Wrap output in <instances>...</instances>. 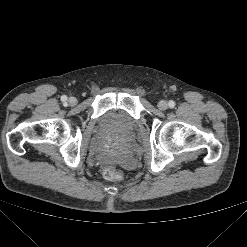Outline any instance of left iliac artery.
<instances>
[{
	"mask_svg": "<svg viewBox=\"0 0 247 247\" xmlns=\"http://www.w3.org/2000/svg\"><path fill=\"white\" fill-rule=\"evenodd\" d=\"M168 105L170 108H174L175 102L171 100V101H169Z\"/></svg>",
	"mask_w": 247,
	"mask_h": 247,
	"instance_id": "44dca946",
	"label": "left iliac artery"
}]
</instances>
